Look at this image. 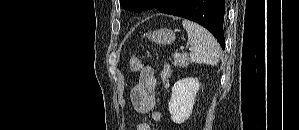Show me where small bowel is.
<instances>
[{"label":"small bowel","instance_id":"small-bowel-1","mask_svg":"<svg viewBox=\"0 0 299 130\" xmlns=\"http://www.w3.org/2000/svg\"><path fill=\"white\" fill-rule=\"evenodd\" d=\"M157 85L158 82L154 76L153 68L145 66L140 72L138 82L130 93L134 109L139 113H150L151 121L154 124H159L162 120V114L153 110ZM135 129L151 130V127L147 122H139Z\"/></svg>","mask_w":299,"mask_h":130}]
</instances>
